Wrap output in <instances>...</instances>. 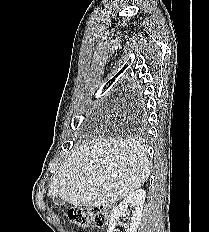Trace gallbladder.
Masks as SVG:
<instances>
[{
	"instance_id": "gallbladder-1",
	"label": "gallbladder",
	"mask_w": 209,
	"mask_h": 232,
	"mask_svg": "<svg viewBox=\"0 0 209 232\" xmlns=\"http://www.w3.org/2000/svg\"><path fill=\"white\" fill-rule=\"evenodd\" d=\"M53 202L56 206H61L64 203V201L58 196L53 198Z\"/></svg>"
}]
</instances>
